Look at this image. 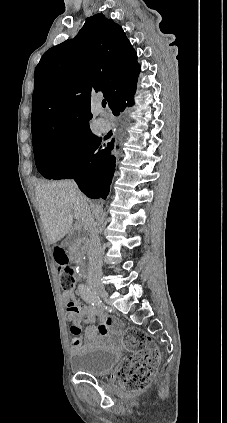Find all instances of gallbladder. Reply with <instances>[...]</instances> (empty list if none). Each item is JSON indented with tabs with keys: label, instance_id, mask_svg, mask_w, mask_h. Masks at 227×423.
Wrapping results in <instances>:
<instances>
[{
	"label": "gallbladder",
	"instance_id": "bac80fb5",
	"mask_svg": "<svg viewBox=\"0 0 227 423\" xmlns=\"http://www.w3.org/2000/svg\"><path fill=\"white\" fill-rule=\"evenodd\" d=\"M84 231H80V229H74L68 237H65L63 241H61V247H68V245H71V243H75L77 239H80V237H83Z\"/></svg>",
	"mask_w": 227,
	"mask_h": 423
}]
</instances>
